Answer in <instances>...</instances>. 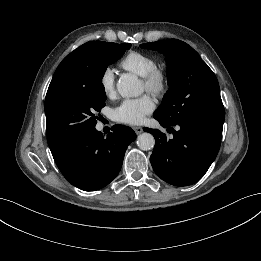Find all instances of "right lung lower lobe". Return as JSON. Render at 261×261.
I'll use <instances>...</instances> for the list:
<instances>
[{"label": "right lung lower lobe", "instance_id": "1", "mask_svg": "<svg viewBox=\"0 0 261 261\" xmlns=\"http://www.w3.org/2000/svg\"><path fill=\"white\" fill-rule=\"evenodd\" d=\"M135 132L123 125L112 127L106 137L94 128L52 153L64 177L84 191L101 189L118 175L128 145Z\"/></svg>", "mask_w": 261, "mask_h": 261}]
</instances>
